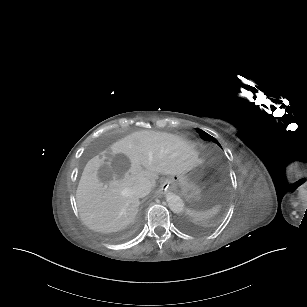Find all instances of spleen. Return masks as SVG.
<instances>
[{
  "instance_id": "spleen-1",
  "label": "spleen",
  "mask_w": 307,
  "mask_h": 307,
  "mask_svg": "<svg viewBox=\"0 0 307 307\" xmlns=\"http://www.w3.org/2000/svg\"><path fill=\"white\" fill-rule=\"evenodd\" d=\"M219 210V207H213L212 209H209L207 211L203 210H196L194 208H187L185 210V215L187 217H191L193 219H203V218H209L213 215H215Z\"/></svg>"
}]
</instances>
